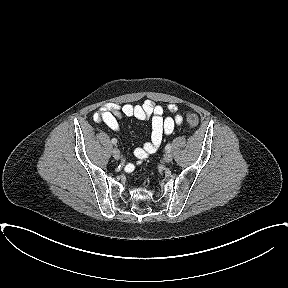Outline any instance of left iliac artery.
<instances>
[{"mask_svg":"<svg viewBox=\"0 0 288 288\" xmlns=\"http://www.w3.org/2000/svg\"><path fill=\"white\" fill-rule=\"evenodd\" d=\"M166 152H170L171 151V144L168 143L165 147Z\"/></svg>","mask_w":288,"mask_h":288,"instance_id":"left-iliac-artery-1","label":"left iliac artery"}]
</instances>
